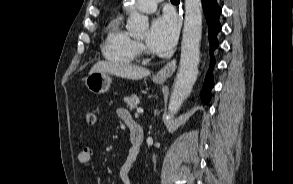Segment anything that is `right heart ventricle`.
Returning <instances> with one entry per match:
<instances>
[{
    "mask_svg": "<svg viewBox=\"0 0 293 184\" xmlns=\"http://www.w3.org/2000/svg\"><path fill=\"white\" fill-rule=\"evenodd\" d=\"M102 53L106 59L119 63H132L138 58V43L123 29L121 16L108 23Z\"/></svg>",
    "mask_w": 293,
    "mask_h": 184,
    "instance_id": "e07e8e85",
    "label": "right heart ventricle"
}]
</instances>
